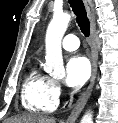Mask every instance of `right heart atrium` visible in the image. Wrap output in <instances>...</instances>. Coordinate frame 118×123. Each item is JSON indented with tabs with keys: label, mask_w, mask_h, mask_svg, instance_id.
Returning a JSON list of instances; mask_svg holds the SVG:
<instances>
[{
	"label": "right heart atrium",
	"mask_w": 118,
	"mask_h": 123,
	"mask_svg": "<svg viewBox=\"0 0 118 123\" xmlns=\"http://www.w3.org/2000/svg\"><path fill=\"white\" fill-rule=\"evenodd\" d=\"M53 90L57 98L61 95V87L59 83L53 81Z\"/></svg>",
	"instance_id": "right-heart-atrium-1"
}]
</instances>
